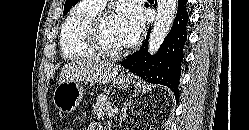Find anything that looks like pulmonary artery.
I'll list each match as a JSON object with an SVG mask.
<instances>
[{"label":"pulmonary artery","instance_id":"obj_1","mask_svg":"<svg viewBox=\"0 0 249 130\" xmlns=\"http://www.w3.org/2000/svg\"><path fill=\"white\" fill-rule=\"evenodd\" d=\"M90 1L102 8L107 0H90Z\"/></svg>","mask_w":249,"mask_h":130}]
</instances>
